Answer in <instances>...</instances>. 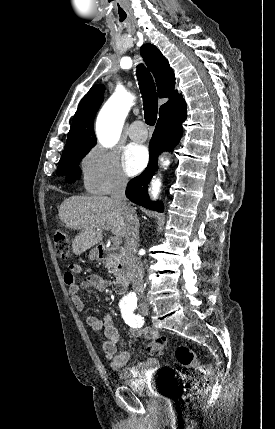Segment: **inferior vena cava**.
Masks as SVG:
<instances>
[{"label":"inferior vena cava","instance_id":"obj_1","mask_svg":"<svg viewBox=\"0 0 275 429\" xmlns=\"http://www.w3.org/2000/svg\"><path fill=\"white\" fill-rule=\"evenodd\" d=\"M126 186L127 178L124 176L120 177L112 190L111 198L118 205L125 218L126 229L124 247L128 269L131 273L132 281L138 297L143 298L144 268L140 258L136 256V248L139 240V220L135 209L131 206L126 198Z\"/></svg>","mask_w":275,"mask_h":429}]
</instances>
